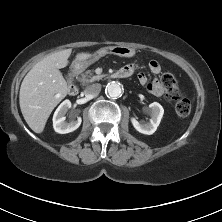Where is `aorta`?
<instances>
[{
	"mask_svg": "<svg viewBox=\"0 0 222 222\" xmlns=\"http://www.w3.org/2000/svg\"><path fill=\"white\" fill-rule=\"evenodd\" d=\"M106 94L111 98H118L122 95V87L120 83L112 81L106 86Z\"/></svg>",
	"mask_w": 222,
	"mask_h": 222,
	"instance_id": "obj_1",
	"label": "aorta"
}]
</instances>
